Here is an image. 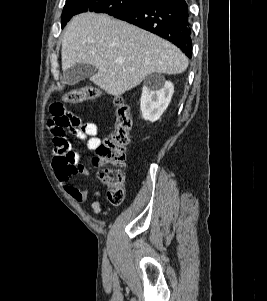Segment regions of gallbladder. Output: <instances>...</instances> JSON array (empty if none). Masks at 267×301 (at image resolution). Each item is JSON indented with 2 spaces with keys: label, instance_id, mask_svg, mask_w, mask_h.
Instances as JSON below:
<instances>
[{
  "label": "gallbladder",
  "instance_id": "bac80fb5",
  "mask_svg": "<svg viewBox=\"0 0 267 301\" xmlns=\"http://www.w3.org/2000/svg\"><path fill=\"white\" fill-rule=\"evenodd\" d=\"M97 72V68L90 64H75L63 72L62 80L66 85L73 86Z\"/></svg>",
  "mask_w": 267,
  "mask_h": 301
}]
</instances>
